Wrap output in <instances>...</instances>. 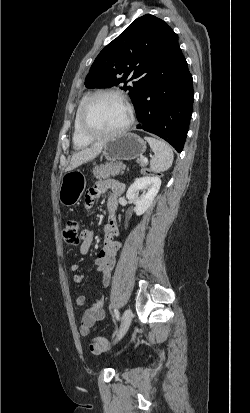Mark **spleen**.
Listing matches in <instances>:
<instances>
[{"mask_svg": "<svg viewBox=\"0 0 250 413\" xmlns=\"http://www.w3.org/2000/svg\"><path fill=\"white\" fill-rule=\"evenodd\" d=\"M150 148L154 152L150 161V169L153 172H163L168 170L173 162L174 154L169 144L162 140H157L151 137H145Z\"/></svg>", "mask_w": 250, "mask_h": 413, "instance_id": "spleen-1", "label": "spleen"}]
</instances>
